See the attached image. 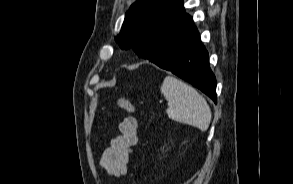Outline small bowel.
<instances>
[{
	"label": "small bowel",
	"mask_w": 293,
	"mask_h": 184,
	"mask_svg": "<svg viewBox=\"0 0 293 184\" xmlns=\"http://www.w3.org/2000/svg\"><path fill=\"white\" fill-rule=\"evenodd\" d=\"M118 128L119 134L110 140L99 162L102 170L115 177L126 174L133 148L138 142V123L134 117L124 118Z\"/></svg>",
	"instance_id": "c3829d8e"
}]
</instances>
